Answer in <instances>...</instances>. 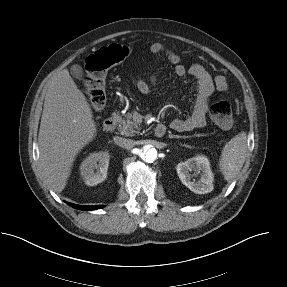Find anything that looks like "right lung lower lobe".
Instances as JSON below:
<instances>
[{
  "instance_id": "obj_1",
  "label": "right lung lower lobe",
  "mask_w": 287,
  "mask_h": 287,
  "mask_svg": "<svg viewBox=\"0 0 287 287\" xmlns=\"http://www.w3.org/2000/svg\"><path fill=\"white\" fill-rule=\"evenodd\" d=\"M69 205H71L72 207L76 208V209H81V210H95L98 208H102V205H95V206H80V205H76V204H72V203H68Z\"/></svg>"
}]
</instances>
